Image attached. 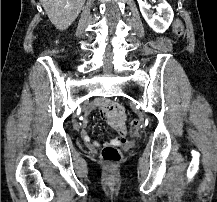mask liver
I'll list each match as a JSON object with an SVG mask.
<instances>
[{
	"instance_id": "1",
	"label": "liver",
	"mask_w": 217,
	"mask_h": 202,
	"mask_svg": "<svg viewBox=\"0 0 217 202\" xmlns=\"http://www.w3.org/2000/svg\"><path fill=\"white\" fill-rule=\"evenodd\" d=\"M57 30H67L79 16L86 0H40Z\"/></svg>"
}]
</instances>
